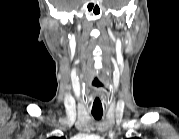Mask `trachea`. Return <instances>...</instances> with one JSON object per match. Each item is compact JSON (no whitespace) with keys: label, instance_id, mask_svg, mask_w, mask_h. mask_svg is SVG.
Returning a JSON list of instances; mask_svg holds the SVG:
<instances>
[{"label":"trachea","instance_id":"3493384b","mask_svg":"<svg viewBox=\"0 0 179 139\" xmlns=\"http://www.w3.org/2000/svg\"><path fill=\"white\" fill-rule=\"evenodd\" d=\"M92 115L96 120H100L102 118L103 112H92Z\"/></svg>","mask_w":179,"mask_h":139}]
</instances>
